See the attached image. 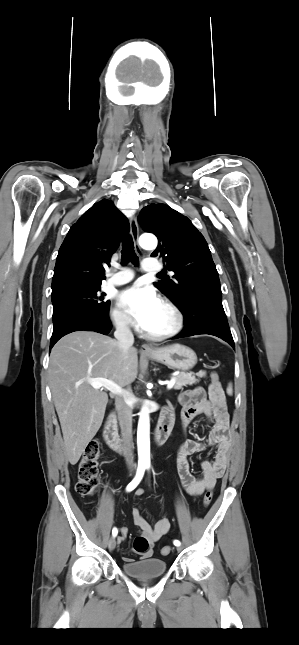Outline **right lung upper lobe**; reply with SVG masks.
<instances>
[{"label": "right lung upper lobe", "instance_id": "right-lung-upper-lobe-1", "mask_svg": "<svg viewBox=\"0 0 299 645\" xmlns=\"http://www.w3.org/2000/svg\"><path fill=\"white\" fill-rule=\"evenodd\" d=\"M128 230V220L112 201L95 203L72 225L59 249L52 293L72 286H100L104 265H109Z\"/></svg>", "mask_w": 299, "mask_h": 645}]
</instances>
